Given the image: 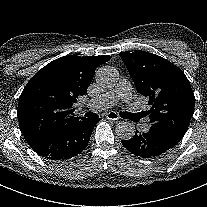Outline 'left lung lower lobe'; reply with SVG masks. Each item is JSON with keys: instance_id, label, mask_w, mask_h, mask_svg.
Here are the masks:
<instances>
[{"instance_id": "left-lung-lower-lobe-1", "label": "left lung lower lobe", "mask_w": 207, "mask_h": 207, "mask_svg": "<svg viewBox=\"0 0 207 207\" xmlns=\"http://www.w3.org/2000/svg\"><path fill=\"white\" fill-rule=\"evenodd\" d=\"M122 144L132 154L143 158L159 156L177 145L168 136L152 128L144 133L136 130L134 137L122 141Z\"/></svg>"}]
</instances>
